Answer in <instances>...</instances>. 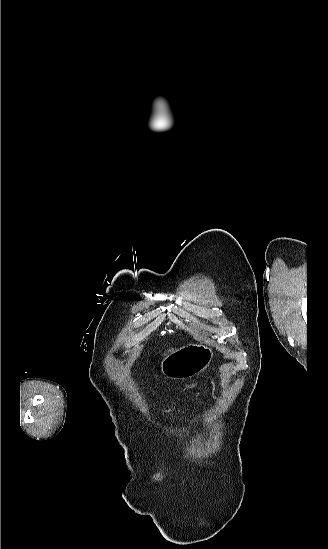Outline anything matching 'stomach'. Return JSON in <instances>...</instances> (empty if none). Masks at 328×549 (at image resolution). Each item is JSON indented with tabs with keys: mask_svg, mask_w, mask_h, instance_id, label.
I'll return each instance as SVG.
<instances>
[{
	"mask_svg": "<svg viewBox=\"0 0 328 549\" xmlns=\"http://www.w3.org/2000/svg\"><path fill=\"white\" fill-rule=\"evenodd\" d=\"M213 351L208 345L191 343L181 347L160 363V371L167 379H191L208 369Z\"/></svg>",
	"mask_w": 328,
	"mask_h": 549,
	"instance_id": "1",
	"label": "stomach"
}]
</instances>
